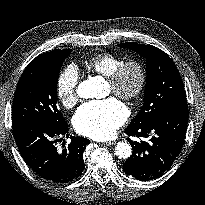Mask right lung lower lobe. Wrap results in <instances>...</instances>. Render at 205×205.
I'll use <instances>...</instances> for the list:
<instances>
[{
	"label": "right lung lower lobe",
	"instance_id": "1",
	"mask_svg": "<svg viewBox=\"0 0 205 205\" xmlns=\"http://www.w3.org/2000/svg\"><path fill=\"white\" fill-rule=\"evenodd\" d=\"M12 131L27 165L41 178L52 183H67L79 177L85 168L83 151L90 143L86 138L70 136L71 142L62 151L57 139L68 134L65 122L53 126L36 120L12 122Z\"/></svg>",
	"mask_w": 205,
	"mask_h": 205
}]
</instances>
